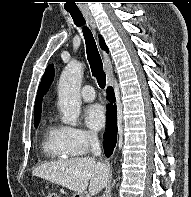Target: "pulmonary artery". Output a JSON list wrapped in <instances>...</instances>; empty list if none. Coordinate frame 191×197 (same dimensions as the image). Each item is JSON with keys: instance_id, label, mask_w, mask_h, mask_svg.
<instances>
[{"instance_id": "pulmonary-artery-1", "label": "pulmonary artery", "mask_w": 191, "mask_h": 197, "mask_svg": "<svg viewBox=\"0 0 191 197\" xmlns=\"http://www.w3.org/2000/svg\"><path fill=\"white\" fill-rule=\"evenodd\" d=\"M81 97L86 102H91L95 99V92L94 89L87 85L81 89Z\"/></svg>"}]
</instances>
